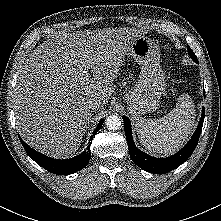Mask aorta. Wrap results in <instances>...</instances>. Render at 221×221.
I'll return each mask as SVG.
<instances>
[{
  "mask_svg": "<svg viewBox=\"0 0 221 221\" xmlns=\"http://www.w3.org/2000/svg\"><path fill=\"white\" fill-rule=\"evenodd\" d=\"M105 124L109 130H118L122 127V119L120 116L112 114L106 118Z\"/></svg>",
  "mask_w": 221,
  "mask_h": 221,
  "instance_id": "aorta-1",
  "label": "aorta"
}]
</instances>
